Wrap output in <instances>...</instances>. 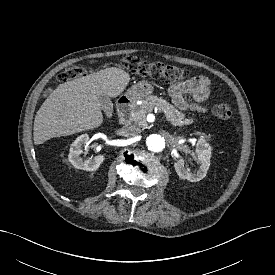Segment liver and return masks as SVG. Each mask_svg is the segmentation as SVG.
Masks as SVG:
<instances>
[{
	"label": "liver",
	"mask_w": 275,
	"mask_h": 275,
	"mask_svg": "<svg viewBox=\"0 0 275 275\" xmlns=\"http://www.w3.org/2000/svg\"><path fill=\"white\" fill-rule=\"evenodd\" d=\"M130 75L116 67L60 84L44 101L34 119V143L101 126L100 96H119Z\"/></svg>",
	"instance_id": "liver-1"
}]
</instances>
